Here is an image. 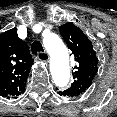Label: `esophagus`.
I'll use <instances>...</instances> for the list:
<instances>
[{
	"label": "esophagus",
	"mask_w": 117,
	"mask_h": 117,
	"mask_svg": "<svg viewBox=\"0 0 117 117\" xmlns=\"http://www.w3.org/2000/svg\"><path fill=\"white\" fill-rule=\"evenodd\" d=\"M37 57L40 61H43V62L49 61V54L47 52L38 53Z\"/></svg>",
	"instance_id": "1"
}]
</instances>
